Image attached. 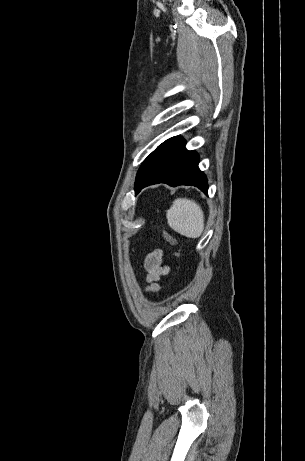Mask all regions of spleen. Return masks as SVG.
I'll list each match as a JSON object with an SVG mask.
<instances>
[{
	"label": "spleen",
	"instance_id": "spleen-1",
	"mask_svg": "<svg viewBox=\"0 0 305 461\" xmlns=\"http://www.w3.org/2000/svg\"><path fill=\"white\" fill-rule=\"evenodd\" d=\"M169 226L188 238H198L204 230V214L201 207L187 198L174 200L166 213Z\"/></svg>",
	"mask_w": 305,
	"mask_h": 461
}]
</instances>
